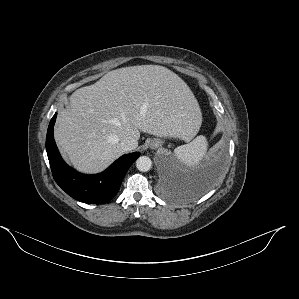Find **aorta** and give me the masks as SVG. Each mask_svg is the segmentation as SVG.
<instances>
[{"instance_id": "aorta-1", "label": "aorta", "mask_w": 299, "mask_h": 299, "mask_svg": "<svg viewBox=\"0 0 299 299\" xmlns=\"http://www.w3.org/2000/svg\"><path fill=\"white\" fill-rule=\"evenodd\" d=\"M136 167L139 171L147 172L152 167V161L147 156H141L136 160Z\"/></svg>"}]
</instances>
